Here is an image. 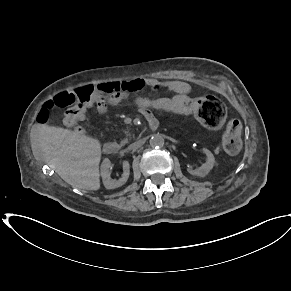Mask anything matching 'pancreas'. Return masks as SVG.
<instances>
[{"instance_id": "pancreas-1", "label": "pancreas", "mask_w": 291, "mask_h": 291, "mask_svg": "<svg viewBox=\"0 0 291 291\" xmlns=\"http://www.w3.org/2000/svg\"><path fill=\"white\" fill-rule=\"evenodd\" d=\"M127 141H128V139L125 138V139H123L122 143L125 144V143H127Z\"/></svg>"}]
</instances>
